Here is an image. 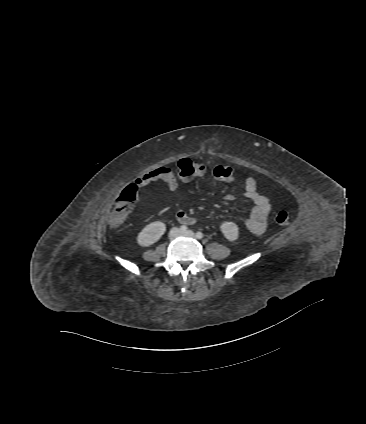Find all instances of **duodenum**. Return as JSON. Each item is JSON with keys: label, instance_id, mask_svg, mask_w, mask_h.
<instances>
[{"label": "duodenum", "instance_id": "duodenum-1", "mask_svg": "<svg viewBox=\"0 0 366 424\" xmlns=\"http://www.w3.org/2000/svg\"><path fill=\"white\" fill-rule=\"evenodd\" d=\"M177 219L180 222H192L193 221V219L191 217L187 216L184 212H181V211L177 212Z\"/></svg>", "mask_w": 366, "mask_h": 424}]
</instances>
